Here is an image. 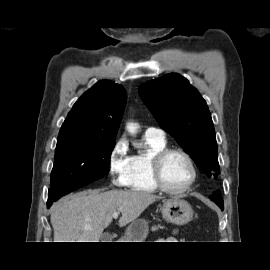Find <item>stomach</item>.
Here are the masks:
<instances>
[{"instance_id": "0dacf381", "label": "stomach", "mask_w": 270, "mask_h": 270, "mask_svg": "<svg viewBox=\"0 0 270 270\" xmlns=\"http://www.w3.org/2000/svg\"><path fill=\"white\" fill-rule=\"evenodd\" d=\"M163 219L176 225H185L193 218L191 205L178 197L164 200L161 206ZM148 222L144 219L133 221L126 231V242H142L147 236Z\"/></svg>"}]
</instances>
